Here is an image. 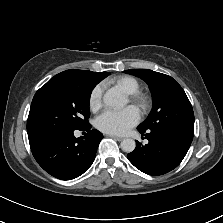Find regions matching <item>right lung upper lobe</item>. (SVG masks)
<instances>
[{"instance_id": "1", "label": "right lung upper lobe", "mask_w": 223, "mask_h": 223, "mask_svg": "<svg viewBox=\"0 0 223 223\" xmlns=\"http://www.w3.org/2000/svg\"><path fill=\"white\" fill-rule=\"evenodd\" d=\"M109 75L108 72H91L87 70H67L64 72H61L54 76V78H67V79H83V78H89L94 79L95 81H98V83L107 77Z\"/></svg>"}]
</instances>
